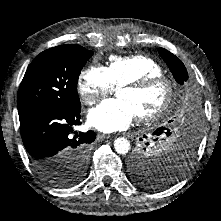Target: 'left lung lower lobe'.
<instances>
[{"label": "left lung lower lobe", "mask_w": 221, "mask_h": 221, "mask_svg": "<svg viewBox=\"0 0 221 221\" xmlns=\"http://www.w3.org/2000/svg\"><path fill=\"white\" fill-rule=\"evenodd\" d=\"M188 127H189V134H188L189 137L186 138V140L183 142L180 149L178 150V155L180 156V160L185 162V164H187L195 154V149L198 141L197 137L200 134V128H201L200 120L192 118L189 121ZM155 133L157 135L160 134L166 136H169L171 134L170 130L164 127L158 128ZM183 171L184 170L178 172V177L176 178L175 181H177L182 176ZM172 183H169L168 185Z\"/></svg>", "instance_id": "left-lung-lower-lobe-1"}]
</instances>
